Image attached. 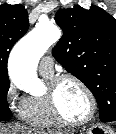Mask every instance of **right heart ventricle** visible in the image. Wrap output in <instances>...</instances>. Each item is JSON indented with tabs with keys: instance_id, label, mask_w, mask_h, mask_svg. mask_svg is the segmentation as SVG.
<instances>
[{
	"instance_id": "obj_1",
	"label": "right heart ventricle",
	"mask_w": 116,
	"mask_h": 134,
	"mask_svg": "<svg viewBox=\"0 0 116 134\" xmlns=\"http://www.w3.org/2000/svg\"><path fill=\"white\" fill-rule=\"evenodd\" d=\"M49 78L51 75H43ZM28 107L22 116L29 123L39 127H53L57 124V121L50 113L45 96H30Z\"/></svg>"
}]
</instances>
